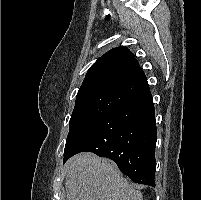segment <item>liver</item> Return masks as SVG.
Masks as SVG:
<instances>
[{"label":"liver","mask_w":201,"mask_h":200,"mask_svg":"<svg viewBox=\"0 0 201 200\" xmlns=\"http://www.w3.org/2000/svg\"><path fill=\"white\" fill-rule=\"evenodd\" d=\"M66 200H143L117 166L92 153H80L66 166Z\"/></svg>","instance_id":"6515ba94"}]
</instances>
